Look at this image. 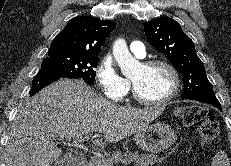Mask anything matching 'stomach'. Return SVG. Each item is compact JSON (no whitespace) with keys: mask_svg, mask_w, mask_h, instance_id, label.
Returning a JSON list of instances; mask_svg holds the SVG:
<instances>
[{"mask_svg":"<svg viewBox=\"0 0 231 166\" xmlns=\"http://www.w3.org/2000/svg\"><path fill=\"white\" fill-rule=\"evenodd\" d=\"M177 135L170 125L154 123L139 130L135 134L136 145L144 151L157 153L170 147Z\"/></svg>","mask_w":231,"mask_h":166,"instance_id":"obj_1","label":"stomach"}]
</instances>
